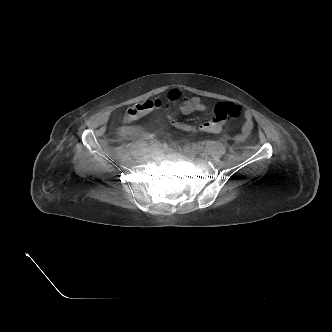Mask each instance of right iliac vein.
Instances as JSON below:
<instances>
[{
	"label": "right iliac vein",
	"mask_w": 332,
	"mask_h": 332,
	"mask_svg": "<svg viewBox=\"0 0 332 332\" xmlns=\"http://www.w3.org/2000/svg\"><path fill=\"white\" fill-rule=\"evenodd\" d=\"M158 155H159V152H158L157 150L151 152V157H152L153 159H156V158L158 157Z\"/></svg>",
	"instance_id": "right-iliac-vein-1"
}]
</instances>
